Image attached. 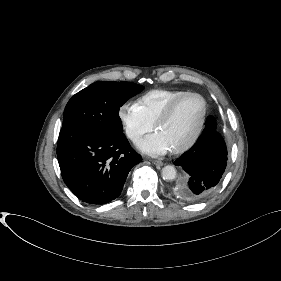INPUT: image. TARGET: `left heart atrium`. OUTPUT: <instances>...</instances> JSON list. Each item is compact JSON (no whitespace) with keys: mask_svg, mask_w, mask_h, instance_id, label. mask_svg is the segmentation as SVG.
Masks as SVG:
<instances>
[{"mask_svg":"<svg viewBox=\"0 0 281 281\" xmlns=\"http://www.w3.org/2000/svg\"><path fill=\"white\" fill-rule=\"evenodd\" d=\"M138 147L141 151L150 155H163L170 151L169 146L158 133H154L141 140Z\"/></svg>","mask_w":281,"mask_h":281,"instance_id":"obj_1","label":"left heart atrium"}]
</instances>
